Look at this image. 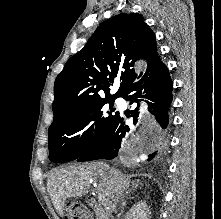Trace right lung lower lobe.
<instances>
[{
  "label": "right lung lower lobe",
  "instance_id": "obj_1",
  "mask_svg": "<svg viewBox=\"0 0 221 219\" xmlns=\"http://www.w3.org/2000/svg\"><path fill=\"white\" fill-rule=\"evenodd\" d=\"M172 89L169 71L157 57L122 94L131 104H137L131 112L134 125L140 117V122L147 128L144 139L150 140L152 144L146 149L147 161H159L166 150L164 129L169 122ZM129 130V126L125 124V117L119 114L101 141L76 160L84 162L121 156L126 145L125 136H128Z\"/></svg>",
  "mask_w": 221,
  "mask_h": 219
}]
</instances>
